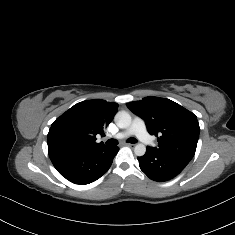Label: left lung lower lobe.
<instances>
[{
  "instance_id": "left-lung-lower-lobe-1",
  "label": "left lung lower lobe",
  "mask_w": 235,
  "mask_h": 235,
  "mask_svg": "<svg viewBox=\"0 0 235 235\" xmlns=\"http://www.w3.org/2000/svg\"><path fill=\"white\" fill-rule=\"evenodd\" d=\"M141 170L154 181H167L176 177L190 162L179 156L157 152L147 147L145 155L138 157Z\"/></svg>"
}]
</instances>
